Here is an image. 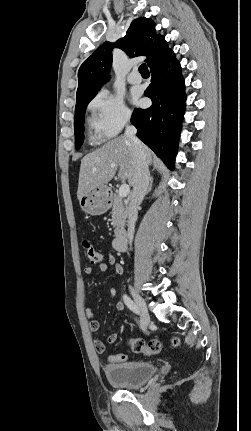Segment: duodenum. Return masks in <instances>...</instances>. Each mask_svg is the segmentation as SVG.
<instances>
[{
    "mask_svg": "<svg viewBox=\"0 0 251 431\" xmlns=\"http://www.w3.org/2000/svg\"><path fill=\"white\" fill-rule=\"evenodd\" d=\"M127 235L125 232H120L113 239V247L119 252H124L127 249Z\"/></svg>",
    "mask_w": 251,
    "mask_h": 431,
    "instance_id": "obj_1",
    "label": "duodenum"
}]
</instances>
